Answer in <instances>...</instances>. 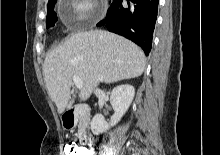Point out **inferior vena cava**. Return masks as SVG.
<instances>
[{"label":"inferior vena cava","instance_id":"602c4592","mask_svg":"<svg viewBox=\"0 0 220 155\" xmlns=\"http://www.w3.org/2000/svg\"><path fill=\"white\" fill-rule=\"evenodd\" d=\"M95 92H96V93H97V92H99V89H96V91H95Z\"/></svg>","mask_w":220,"mask_h":155}]
</instances>
